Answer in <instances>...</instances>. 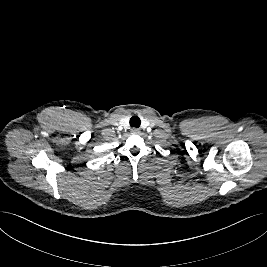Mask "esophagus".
I'll return each instance as SVG.
<instances>
[{"mask_svg": "<svg viewBox=\"0 0 267 267\" xmlns=\"http://www.w3.org/2000/svg\"><path fill=\"white\" fill-rule=\"evenodd\" d=\"M131 132L133 134H139L140 133V130L138 128H133V129H131Z\"/></svg>", "mask_w": 267, "mask_h": 267, "instance_id": "obj_1", "label": "esophagus"}]
</instances>
